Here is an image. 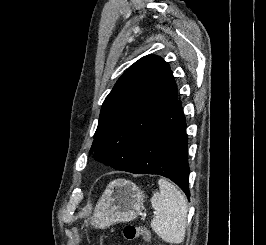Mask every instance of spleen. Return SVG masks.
I'll return each mask as SVG.
<instances>
[{"instance_id":"1","label":"spleen","mask_w":266,"mask_h":245,"mask_svg":"<svg viewBox=\"0 0 266 245\" xmlns=\"http://www.w3.org/2000/svg\"><path fill=\"white\" fill-rule=\"evenodd\" d=\"M158 185L160 191L151 199L155 213L151 227L169 245H180L185 239L187 225L186 199L167 179H160Z\"/></svg>"}]
</instances>
